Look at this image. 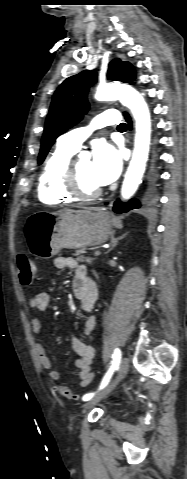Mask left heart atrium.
<instances>
[{"mask_svg":"<svg viewBox=\"0 0 187 479\" xmlns=\"http://www.w3.org/2000/svg\"><path fill=\"white\" fill-rule=\"evenodd\" d=\"M92 176L99 186L116 180L122 169L119 151L105 141H98L92 150Z\"/></svg>","mask_w":187,"mask_h":479,"instance_id":"left-heart-atrium-1","label":"left heart atrium"}]
</instances>
